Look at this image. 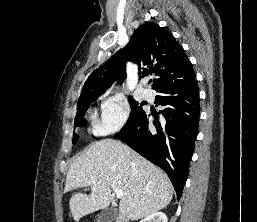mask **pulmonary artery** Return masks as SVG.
<instances>
[{
  "label": "pulmonary artery",
  "instance_id": "obj_1",
  "mask_svg": "<svg viewBox=\"0 0 257 222\" xmlns=\"http://www.w3.org/2000/svg\"><path fill=\"white\" fill-rule=\"evenodd\" d=\"M142 97L144 99H151L152 98V92L149 89H143Z\"/></svg>",
  "mask_w": 257,
  "mask_h": 222
}]
</instances>
